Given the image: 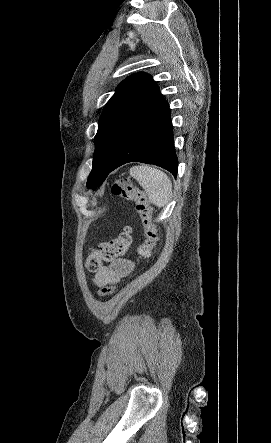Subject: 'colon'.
<instances>
[{"mask_svg":"<svg viewBox=\"0 0 271 443\" xmlns=\"http://www.w3.org/2000/svg\"><path fill=\"white\" fill-rule=\"evenodd\" d=\"M112 193L136 203L144 227V240L137 252L140 257L148 258L157 242V230L152 220V209L146 194L128 179L117 180L112 187ZM132 243V230L127 227L117 237L100 244L98 248L90 252L86 260L87 269L91 272H98L103 264H109L116 258L126 255ZM115 290L114 284L105 285L100 288L99 296H109Z\"/></svg>","mask_w":271,"mask_h":443,"instance_id":"1","label":"colon"}]
</instances>
